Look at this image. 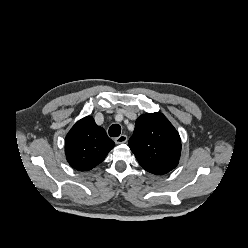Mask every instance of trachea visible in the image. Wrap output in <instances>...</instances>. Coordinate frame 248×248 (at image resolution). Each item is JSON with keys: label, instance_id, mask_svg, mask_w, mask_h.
Segmentation results:
<instances>
[{"label": "trachea", "instance_id": "obj_1", "mask_svg": "<svg viewBox=\"0 0 248 248\" xmlns=\"http://www.w3.org/2000/svg\"><path fill=\"white\" fill-rule=\"evenodd\" d=\"M121 134V127L118 124H113L109 128V135L111 137H118Z\"/></svg>", "mask_w": 248, "mask_h": 248}]
</instances>
